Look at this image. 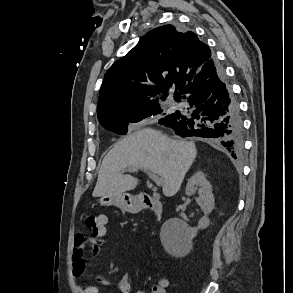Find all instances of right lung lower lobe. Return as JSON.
Here are the masks:
<instances>
[{"mask_svg": "<svg viewBox=\"0 0 293 293\" xmlns=\"http://www.w3.org/2000/svg\"><path fill=\"white\" fill-rule=\"evenodd\" d=\"M180 94L189 107L165 116L159 124L182 137L213 138L236 159L243 150L242 118L218 63L209 60Z\"/></svg>", "mask_w": 293, "mask_h": 293, "instance_id": "obj_1", "label": "right lung lower lobe"}]
</instances>
